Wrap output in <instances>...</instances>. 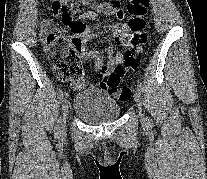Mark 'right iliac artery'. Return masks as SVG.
I'll use <instances>...</instances> for the list:
<instances>
[{"instance_id":"1","label":"right iliac artery","mask_w":207,"mask_h":179,"mask_svg":"<svg viewBox=\"0 0 207 179\" xmlns=\"http://www.w3.org/2000/svg\"><path fill=\"white\" fill-rule=\"evenodd\" d=\"M58 99H59V101H61L63 99V91L62 90H60L58 92Z\"/></svg>"}]
</instances>
